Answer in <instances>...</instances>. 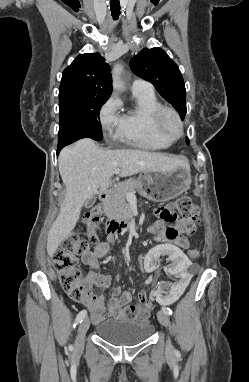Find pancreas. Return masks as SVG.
I'll return each instance as SVG.
<instances>
[{
    "label": "pancreas",
    "mask_w": 249,
    "mask_h": 382,
    "mask_svg": "<svg viewBox=\"0 0 249 382\" xmlns=\"http://www.w3.org/2000/svg\"><path fill=\"white\" fill-rule=\"evenodd\" d=\"M138 182L135 179H128L114 187L104 205V213L109 218L129 219L131 211L126 203V195L135 192Z\"/></svg>",
    "instance_id": "pancreas-1"
}]
</instances>
